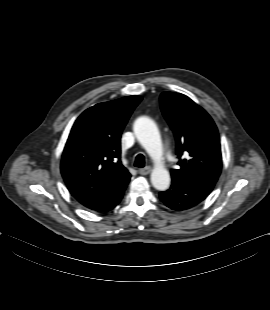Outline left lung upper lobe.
<instances>
[{
    "label": "left lung upper lobe",
    "instance_id": "obj_1",
    "mask_svg": "<svg viewBox=\"0 0 270 310\" xmlns=\"http://www.w3.org/2000/svg\"><path fill=\"white\" fill-rule=\"evenodd\" d=\"M163 115L176 138L178 168L172 178L213 188L221 172L218 130L207 112L187 96L164 92L160 96Z\"/></svg>",
    "mask_w": 270,
    "mask_h": 310
}]
</instances>
